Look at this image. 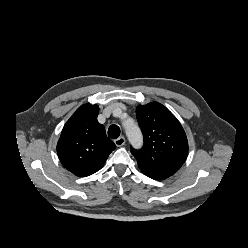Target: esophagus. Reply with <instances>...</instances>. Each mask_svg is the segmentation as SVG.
I'll use <instances>...</instances> for the list:
<instances>
[{"mask_svg": "<svg viewBox=\"0 0 248 248\" xmlns=\"http://www.w3.org/2000/svg\"><path fill=\"white\" fill-rule=\"evenodd\" d=\"M126 139L124 137H119L117 139L114 140V143L117 147H121L125 144Z\"/></svg>", "mask_w": 248, "mask_h": 248, "instance_id": "1", "label": "esophagus"}]
</instances>
